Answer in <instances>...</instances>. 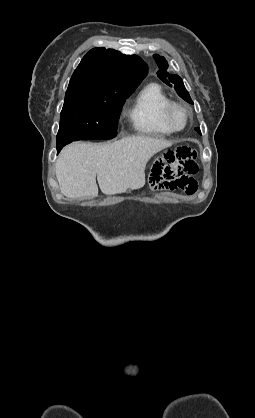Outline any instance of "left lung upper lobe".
Returning <instances> with one entry per match:
<instances>
[{"label":"left lung upper lobe","instance_id":"obj_1","mask_svg":"<svg viewBox=\"0 0 255 418\" xmlns=\"http://www.w3.org/2000/svg\"><path fill=\"white\" fill-rule=\"evenodd\" d=\"M153 58L155 59L160 69L157 72L158 77L167 85L174 86L177 94L182 99H184L186 102L190 104H193V101L191 100L190 95L183 84V80L178 75H173V74H169L168 72H166L168 68V63L165 60V58L157 54L153 55ZM196 130L200 133L199 128H196Z\"/></svg>","mask_w":255,"mask_h":418}]
</instances>
